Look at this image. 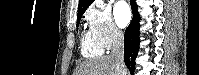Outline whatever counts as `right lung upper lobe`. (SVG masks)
I'll list each match as a JSON object with an SVG mask.
<instances>
[{
  "mask_svg": "<svg viewBox=\"0 0 199 75\" xmlns=\"http://www.w3.org/2000/svg\"><path fill=\"white\" fill-rule=\"evenodd\" d=\"M94 0H79L78 16H82Z\"/></svg>",
  "mask_w": 199,
  "mask_h": 75,
  "instance_id": "obj_1",
  "label": "right lung upper lobe"
}]
</instances>
